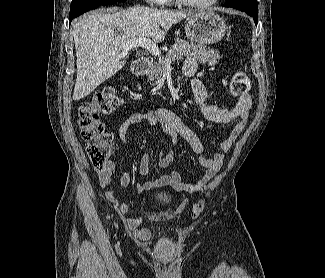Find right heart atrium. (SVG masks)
I'll list each match as a JSON object with an SVG mask.
<instances>
[{
	"label": "right heart atrium",
	"mask_w": 325,
	"mask_h": 278,
	"mask_svg": "<svg viewBox=\"0 0 325 278\" xmlns=\"http://www.w3.org/2000/svg\"><path fill=\"white\" fill-rule=\"evenodd\" d=\"M145 1L153 4H162L165 2V0H145Z\"/></svg>",
	"instance_id": "obj_1"
}]
</instances>
